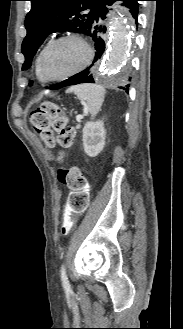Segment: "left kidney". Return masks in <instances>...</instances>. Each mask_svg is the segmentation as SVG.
Here are the masks:
<instances>
[{
  "instance_id": "1",
  "label": "left kidney",
  "mask_w": 183,
  "mask_h": 329,
  "mask_svg": "<svg viewBox=\"0 0 183 329\" xmlns=\"http://www.w3.org/2000/svg\"><path fill=\"white\" fill-rule=\"evenodd\" d=\"M83 147L90 157L97 156L105 146L106 131L103 121L87 122L83 128Z\"/></svg>"
}]
</instances>
